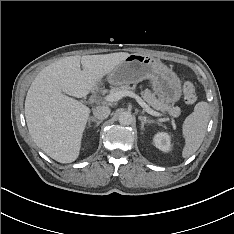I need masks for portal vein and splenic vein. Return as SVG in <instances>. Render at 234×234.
I'll return each mask as SVG.
<instances>
[{
	"label": "portal vein and splenic vein",
	"instance_id": "1",
	"mask_svg": "<svg viewBox=\"0 0 234 234\" xmlns=\"http://www.w3.org/2000/svg\"><path fill=\"white\" fill-rule=\"evenodd\" d=\"M124 96H129L131 98H134L137 103L150 115L152 116H162L161 113L154 111L153 109H151L142 99L140 96H138L137 94H135L132 91H120V92H111L110 94L106 95L104 97V100L107 102H114V101H118L120 100L122 97ZM173 125H175L173 123Z\"/></svg>",
	"mask_w": 234,
	"mask_h": 234
}]
</instances>
